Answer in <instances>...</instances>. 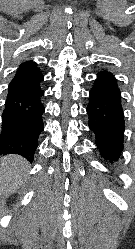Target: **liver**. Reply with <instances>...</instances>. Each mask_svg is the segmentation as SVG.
<instances>
[{
    "label": "liver",
    "mask_w": 135,
    "mask_h": 249,
    "mask_svg": "<svg viewBox=\"0 0 135 249\" xmlns=\"http://www.w3.org/2000/svg\"><path fill=\"white\" fill-rule=\"evenodd\" d=\"M29 167L28 162L21 156L8 155L2 158L0 187L3 190V198H7L22 185Z\"/></svg>",
    "instance_id": "1"
}]
</instances>
